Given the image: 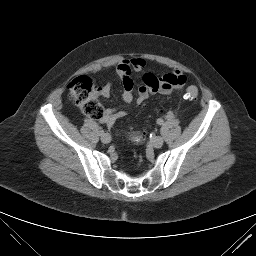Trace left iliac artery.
<instances>
[{"label":"left iliac artery","mask_w":256,"mask_h":256,"mask_svg":"<svg viewBox=\"0 0 256 256\" xmlns=\"http://www.w3.org/2000/svg\"><path fill=\"white\" fill-rule=\"evenodd\" d=\"M157 124L162 125L163 124V120L162 119H158L157 120Z\"/></svg>","instance_id":"left-iliac-artery-1"}]
</instances>
